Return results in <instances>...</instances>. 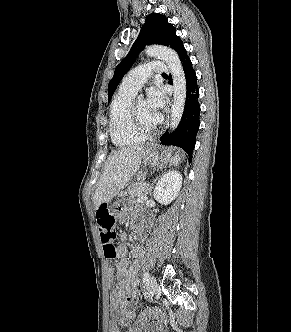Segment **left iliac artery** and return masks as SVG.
I'll use <instances>...</instances> for the list:
<instances>
[{
	"label": "left iliac artery",
	"mask_w": 291,
	"mask_h": 332,
	"mask_svg": "<svg viewBox=\"0 0 291 332\" xmlns=\"http://www.w3.org/2000/svg\"><path fill=\"white\" fill-rule=\"evenodd\" d=\"M150 278V274L148 272H145L143 274V282L146 283L147 281H149Z\"/></svg>",
	"instance_id": "44dca946"
}]
</instances>
